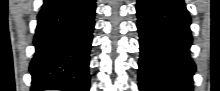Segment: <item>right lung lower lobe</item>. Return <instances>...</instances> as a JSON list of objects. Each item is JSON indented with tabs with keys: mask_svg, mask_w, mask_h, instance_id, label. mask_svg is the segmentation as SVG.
Wrapping results in <instances>:
<instances>
[{
	"mask_svg": "<svg viewBox=\"0 0 220 91\" xmlns=\"http://www.w3.org/2000/svg\"><path fill=\"white\" fill-rule=\"evenodd\" d=\"M95 0H44L37 17L32 91H88Z\"/></svg>",
	"mask_w": 220,
	"mask_h": 91,
	"instance_id": "obj_1",
	"label": "right lung lower lobe"
}]
</instances>
